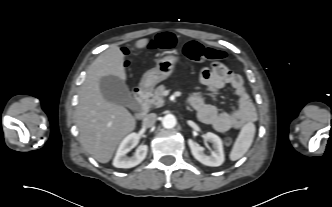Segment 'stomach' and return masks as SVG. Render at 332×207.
Wrapping results in <instances>:
<instances>
[{
    "label": "stomach",
    "mask_w": 332,
    "mask_h": 207,
    "mask_svg": "<svg viewBox=\"0 0 332 207\" xmlns=\"http://www.w3.org/2000/svg\"><path fill=\"white\" fill-rule=\"evenodd\" d=\"M178 60V57L172 54L159 59L154 68L144 73L140 81V87L143 90H152L155 85L171 76Z\"/></svg>",
    "instance_id": "obj_1"
}]
</instances>
